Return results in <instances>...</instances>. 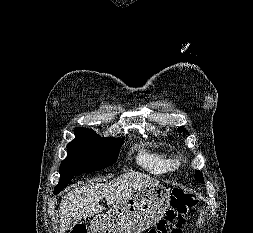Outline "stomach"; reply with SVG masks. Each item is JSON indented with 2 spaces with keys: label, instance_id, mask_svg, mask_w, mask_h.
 I'll return each mask as SVG.
<instances>
[{
  "label": "stomach",
  "instance_id": "stomach-1",
  "mask_svg": "<svg viewBox=\"0 0 253 233\" xmlns=\"http://www.w3.org/2000/svg\"><path fill=\"white\" fill-rule=\"evenodd\" d=\"M170 190L154 184L114 205L107 214L91 222L92 233H141L154 226L170 204Z\"/></svg>",
  "mask_w": 253,
  "mask_h": 233
}]
</instances>
